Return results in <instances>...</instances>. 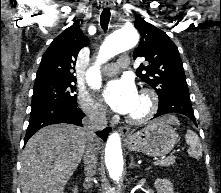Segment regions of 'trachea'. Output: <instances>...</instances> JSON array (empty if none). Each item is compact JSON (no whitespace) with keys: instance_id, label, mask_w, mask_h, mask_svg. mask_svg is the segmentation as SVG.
Instances as JSON below:
<instances>
[{"instance_id":"obj_1","label":"trachea","mask_w":221,"mask_h":193,"mask_svg":"<svg viewBox=\"0 0 221 193\" xmlns=\"http://www.w3.org/2000/svg\"><path fill=\"white\" fill-rule=\"evenodd\" d=\"M110 9L109 8H105L103 9L102 13H101V16H100V24H101V27L104 31L107 30L108 28V24H109V20H110Z\"/></svg>"}]
</instances>
